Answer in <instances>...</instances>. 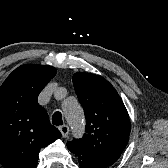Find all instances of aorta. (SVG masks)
<instances>
[{"label":"aorta","instance_id":"1","mask_svg":"<svg viewBox=\"0 0 168 168\" xmlns=\"http://www.w3.org/2000/svg\"><path fill=\"white\" fill-rule=\"evenodd\" d=\"M59 93H65V89H60ZM63 110L65 118L70 125L73 134L81 136L84 131V115L81 107L76 101L72 103L66 102Z\"/></svg>","mask_w":168,"mask_h":168}]
</instances>
